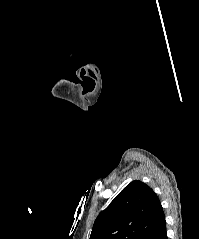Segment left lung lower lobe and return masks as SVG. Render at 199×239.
<instances>
[{
    "instance_id": "obj_1",
    "label": "left lung lower lobe",
    "mask_w": 199,
    "mask_h": 239,
    "mask_svg": "<svg viewBox=\"0 0 199 239\" xmlns=\"http://www.w3.org/2000/svg\"><path fill=\"white\" fill-rule=\"evenodd\" d=\"M149 239H168L164 213L156 222Z\"/></svg>"
}]
</instances>
